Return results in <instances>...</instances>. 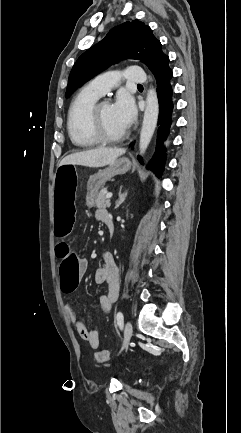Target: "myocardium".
Wrapping results in <instances>:
<instances>
[{
  "label": "myocardium",
  "mask_w": 241,
  "mask_h": 433,
  "mask_svg": "<svg viewBox=\"0 0 241 433\" xmlns=\"http://www.w3.org/2000/svg\"><path fill=\"white\" fill-rule=\"evenodd\" d=\"M104 105H110L107 100L99 101L94 104L91 109L90 118H89V128L93 137L97 140L98 143L103 144H112L117 143L124 140L127 136V131L125 130L118 136H110L106 134L102 127L101 121V109Z\"/></svg>",
  "instance_id": "myocardium-1"
}]
</instances>
